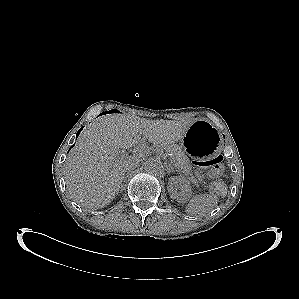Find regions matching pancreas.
Instances as JSON below:
<instances>
[{"label":"pancreas","mask_w":299,"mask_h":299,"mask_svg":"<svg viewBox=\"0 0 299 299\" xmlns=\"http://www.w3.org/2000/svg\"><path fill=\"white\" fill-rule=\"evenodd\" d=\"M166 151L172 154V159L175 162V167L179 171H182L186 175L190 174L191 166L189 162V158L184 153V151L181 150V148L178 145H168L165 147ZM193 184L198 186V181L195 177H190Z\"/></svg>","instance_id":"pancreas-1"}]
</instances>
